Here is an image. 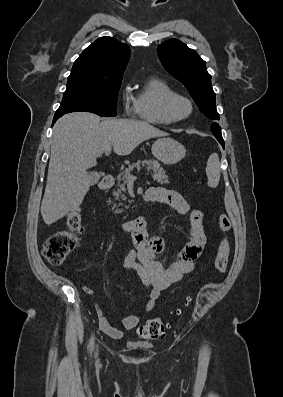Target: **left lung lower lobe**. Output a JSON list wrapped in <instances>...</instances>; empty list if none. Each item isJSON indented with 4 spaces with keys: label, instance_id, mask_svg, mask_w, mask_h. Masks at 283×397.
<instances>
[{
    "label": "left lung lower lobe",
    "instance_id": "left-lung-lower-lobe-1",
    "mask_svg": "<svg viewBox=\"0 0 283 397\" xmlns=\"http://www.w3.org/2000/svg\"><path fill=\"white\" fill-rule=\"evenodd\" d=\"M216 138H217V140L219 141V143L222 145V147L224 148V141H223V138H222V135H214Z\"/></svg>",
    "mask_w": 283,
    "mask_h": 397
}]
</instances>
